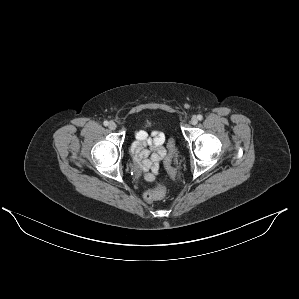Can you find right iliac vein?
Instances as JSON below:
<instances>
[{"instance_id":"63e3f726","label":"right iliac vein","mask_w":299,"mask_h":299,"mask_svg":"<svg viewBox=\"0 0 299 299\" xmlns=\"http://www.w3.org/2000/svg\"><path fill=\"white\" fill-rule=\"evenodd\" d=\"M108 127H109V129H111V130H115V129H116V123L113 122V121H111V122H109Z\"/></svg>"}]
</instances>
